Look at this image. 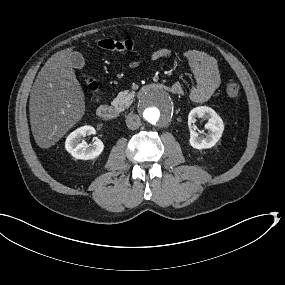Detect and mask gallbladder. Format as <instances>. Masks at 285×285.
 <instances>
[{
  "instance_id": "1",
  "label": "gallbladder",
  "mask_w": 285,
  "mask_h": 285,
  "mask_svg": "<svg viewBox=\"0 0 285 285\" xmlns=\"http://www.w3.org/2000/svg\"><path fill=\"white\" fill-rule=\"evenodd\" d=\"M70 59L74 68L81 69L85 65L84 58L79 52H72Z\"/></svg>"
}]
</instances>
